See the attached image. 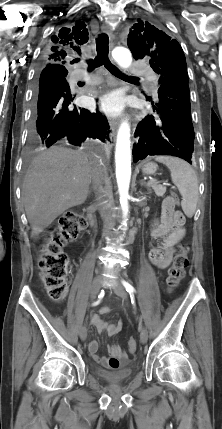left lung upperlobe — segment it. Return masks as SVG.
I'll use <instances>...</instances> for the list:
<instances>
[{
    "instance_id": "left-lung-upper-lobe-1",
    "label": "left lung upper lobe",
    "mask_w": 222,
    "mask_h": 429,
    "mask_svg": "<svg viewBox=\"0 0 222 429\" xmlns=\"http://www.w3.org/2000/svg\"><path fill=\"white\" fill-rule=\"evenodd\" d=\"M132 28L127 42L133 57H149L150 66L161 75L159 83L170 73L188 80L186 59L177 40L145 21L138 20Z\"/></svg>"
}]
</instances>
